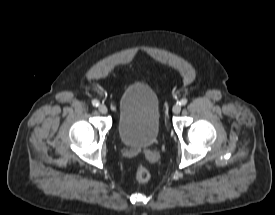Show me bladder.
I'll return each instance as SVG.
<instances>
[{
	"label": "bladder",
	"mask_w": 275,
	"mask_h": 215,
	"mask_svg": "<svg viewBox=\"0 0 275 215\" xmlns=\"http://www.w3.org/2000/svg\"><path fill=\"white\" fill-rule=\"evenodd\" d=\"M160 110L156 93L144 83H133L118 101L117 130L123 144L130 147L152 146L159 135Z\"/></svg>",
	"instance_id": "bladder-1"
}]
</instances>
